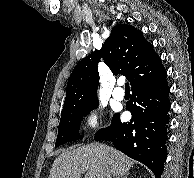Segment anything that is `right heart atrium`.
I'll return each instance as SVG.
<instances>
[{
	"label": "right heart atrium",
	"instance_id": "1",
	"mask_svg": "<svg viewBox=\"0 0 194 178\" xmlns=\"http://www.w3.org/2000/svg\"><path fill=\"white\" fill-rule=\"evenodd\" d=\"M103 126V116L97 110L88 111L81 122L82 130L86 133H94Z\"/></svg>",
	"mask_w": 194,
	"mask_h": 178
}]
</instances>
